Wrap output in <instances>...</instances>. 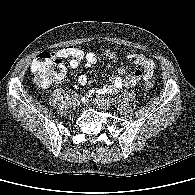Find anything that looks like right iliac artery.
<instances>
[{"label":"right iliac artery","mask_w":195,"mask_h":195,"mask_svg":"<svg viewBox=\"0 0 195 195\" xmlns=\"http://www.w3.org/2000/svg\"><path fill=\"white\" fill-rule=\"evenodd\" d=\"M74 96H75V97H78V94H75Z\"/></svg>","instance_id":"82829eb1"}]
</instances>
